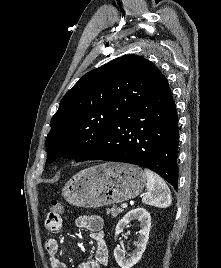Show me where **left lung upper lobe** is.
Returning <instances> with one entry per match:
<instances>
[{
	"label": "left lung upper lobe",
	"mask_w": 221,
	"mask_h": 268,
	"mask_svg": "<svg viewBox=\"0 0 221 268\" xmlns=\"http://www.w3.org/2000/svg\"><path fill=\"white\" fill-rule=\"evenodd\" d=\"M168 86L148 60L125 55L85 74L62 98L46 138L47 161H86L121 115Z\"/></svg>",
	"instance_id": "left-lung-upper-lobe-1"
}]
</instances>
